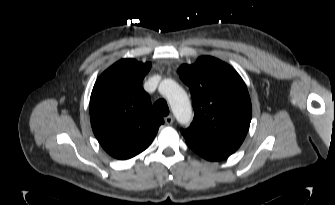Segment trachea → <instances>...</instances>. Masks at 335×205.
<instances>
[{"label":"trachea","instance_id":"3493384b","mask_svg":"<svg viewBox=\"0 0 335 205\" xmlns=\"http://www.w3.org/2000/svg\"><path fill=\"white\" fill-rule=\"evenodd\" d=\"M153 110L161 116L169 114V107L164 99L157 100L153 105Z\"/></svg>","mask_w":335,"mask_h":205}]
</instances>
